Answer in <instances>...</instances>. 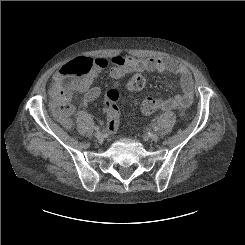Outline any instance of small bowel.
Instances as JSON below:
<instances>
[{"label":"small bowel","instance_id":"small-bowel-1","mask_svg":"<svg viewBox=\"0 0 245 245\" xmlns=\"http://www.w3.org/2000/svg\"><path fill=\"white\" fill-rule=\"evenodd\" d=\"M95 63L100 70H107L109 63L104 59H95ZM111 76L115 79L121 78L128 73L142 71H157L176 74L180 77L182 93L166 99H157V110H172L177 107H188L193 101V79L188 69L174 60L163 57H151L146 59H136L124 55H114L110 59ZM62 67L53 76L54 81L61 75ZM87 84L79 90L82 93L83 103H90L101 94L99 86ZM118 119L117 109L113 113Z\"/></svg>","mask_w":245,"mask_h":245}]
</instances>
